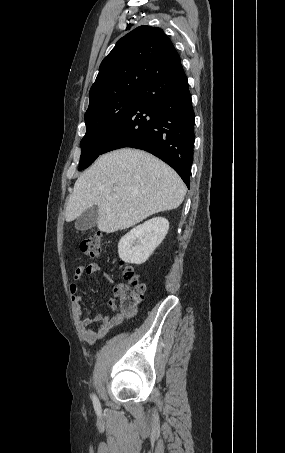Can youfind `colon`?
Wrapping results in <instances>:
<instances>
[{"label": "colon", "instance_id": "5ec220e1", "mask_svg": "<svg viewBox=\"0 0 285 453\" xmlns=\"http://www.w3.org/2000/svg\"><path fill=\"white\" fill-rule=\"evenodd\" d=\"M102 239L103 233L101 231L88 233L80 245L82 253L91 259L98 258L102 252ZM122 274L126 284L118 286L115 294L119 298L122 313L131 316L135 314L138 305L144 300L146 285L140 281L128 265L123 264Z\"/></svg>", "mask_w": 285, "mask_h": 453}]
</instances>
